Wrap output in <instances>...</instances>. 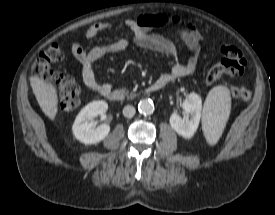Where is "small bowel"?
Here are the masks:
<instances>
[{
	"label": "small bowel",
	"mask_w": 275,
	"mask_h": 215,
	"mask_svg": "<svg viewBox=\"0 0 275 215\" xmlns=\"http://www.w3.org/2000/svg\"><path fill=\"white\" fill-rule=\"evenodd\" d=\"M165 24L166 17L161 14H142L137 19H129L124 22V26L132 31L137 46L159 52L173 60L171 72L160 77L167 79L169 83L176 78L186 77L195 71L204 38L195 24L190 21H183L174 27V33L185 42L191 51V56L187 62L181 63L178 60V49L175 43L160 34L152 32L154 28ZM112 27L113 25L107 22L95 23L86 30L85 37L92 39ZM128 47L129 41L126 39H118L107 44L98 45L90 50H86L79 42H74L72 53L81 63V76L85 86L101 95L109 91L110 85L97 79L94 64L102 57L123 52Z\"/></svg>",
	"instance_id": "obj_1"
}]
</instances>
